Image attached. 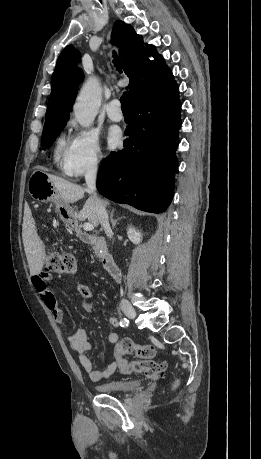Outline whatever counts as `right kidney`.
Segmentation results:
<instances>
[{"label":"right kidney","instance_id":"ca27d5eb","mask_svg":"<svg viewBox=\"0 0 261 459\" xmlns=\"http://www.w3.org/2000/svg\"><path fill=\"white\" fill-rule=\"evenodd\" d=\"M127 235L129 240L134 244H139L142 241V234L132 226H129L127 229Z\"/></svg>","mask_w":261,"mask_h":459}]
</instances>
